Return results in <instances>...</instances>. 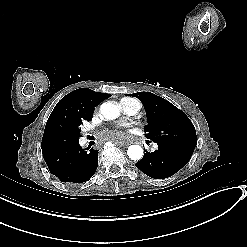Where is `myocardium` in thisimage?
Returning a JSON list of instances; mask_svg holds the SVG:
<instances>
[{
	"label": "myocardium",
	"mask_w": 247,
	"mask_h": 247,
	"mask_svg": "<svg viewBox=\"0 0 247 247\" xmlns=\"http://www.w3.org/2000/svg\"><path fill=\"white\" fill-rule=\"evenodd\" d=\"M133 100H135V99H133ZM128 116L131 118V120H132L135 124L137 123L136 120H134L133 117H132L130 114H128Z\"/></svg>",
	"instance_id": "myocardium-1"
}]
</instances>
